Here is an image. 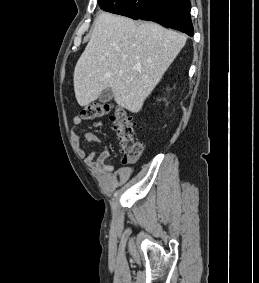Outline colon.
I'll return each mask as SVG.
<instances>
[{"mask_svg":"<svg viewBox=\"0 0 259 283\" xmlns=\"http://www.w3.org/2000/svg\"><path fill=\"white\" fill-rule=\"evenodd\" d=\"M112 112V122L121 143L124 164L135 163L141 156L144 144L135 133V127L129 112L109 102H97L85 106L79 113L82 119L94 120Z\"/></svg>","mask_w":259,"mask_h":283,"instance_id":"1","label":"colon"}]
</instances>
